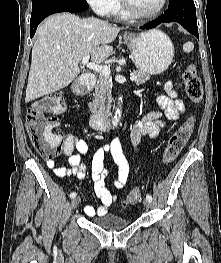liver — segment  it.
Returning <instances> with one entry per match:
<instances>
[{
  "label": "liver",
  "instance_id": "obj_1",
  "mask_svg": "<svg viewBox=\"0 0 221 263\" xmlns=\"http://www.w3.org/2000/svg\"><path fill=\"white\" fill-rule=\"evenodd\" d=\"M119 31L93 17L81 19L69 13L49 17L37 29L25 102L68 86L80 73L79 62L85 55L94 63L105 61Z\"/></svg>",
  "mask_w": 221,
  "mask_h": 263
}]
</instances>
